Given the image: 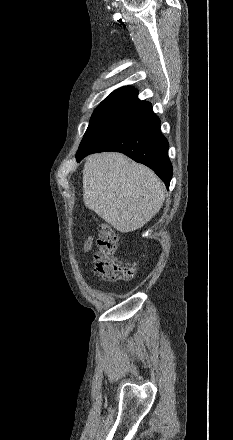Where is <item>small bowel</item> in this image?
Masks as SVG:
<instances>
[{
    "instance_id": "obj_1",
    "label": "small bowel",
    "mask_w": 233,
    "mask_h": 440,
    "mask_svg": "<svg viewBox=\"0 0 233 440\" xmlns=\"http://www.w3.org/2000/svg\"><path fill=\"white\" fill-rule=\"evenodd\" d=\"M92 248V238H88L84 243V249L85 251H90Z\"/></svg>"
}]
</instances>
